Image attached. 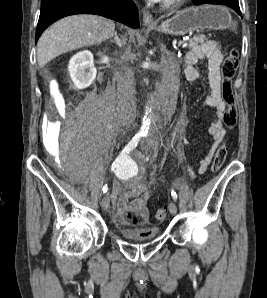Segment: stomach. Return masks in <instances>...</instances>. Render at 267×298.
<instances>
[{"label":"stomach","instance_id":"1","mask_svg":"<svg viewBox=\"0 0 267 298\" xmlns=\"http://www.w3.org/2000/svg\"><path fill=\"white\" fill-rule=\"evenodd\" d=\"M229 10L221 5H202L179 11L172 18L152 29L169 35L181 36L193 31L224 30L231 26Z\"/></svg>","mask_w":267,"mask_h":298}]
</instances>
